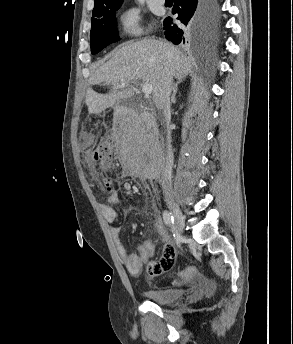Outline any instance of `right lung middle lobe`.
<instances>
[{
	"label": "right lung middle lobe",
	"mask_w": 293,
	"mask_h": 344,
	"mask_svg": "<svg viewBox=\"0 0 293 344\" xmlns=\"http://www.w3.org/2000/svg\"><path fill=\"white\" fill-rule=\"evenodd\" d=\"M123 1L115 2L108 6L93 10L91 19L92 27L90 32L91 53L96 54L103 48L119 40L115 12Z\"/></svg>",
	"instance_id": "right-lung-middle-lobe-1"
}]
</instances>
